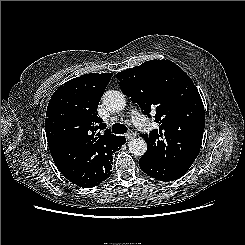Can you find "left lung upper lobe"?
I'll return each mask as SVG.
<instances>
[{
	"instance_id": "5c2ea615",
	"label": "left lung upper lobe",
	"mask_w": 245,
	"mask_h": 245,
	"mask_svg": "<svg viewBox=\"0 0 245 245\" xmlns=\"http://www.w3.org/2000/svg\"><path fill=\"white\" fill-rule=\"evenodd\" d=\"M122 91L155 115L159 129L141 134L148 145L143 155L165 165L190 168L199 154L205 127L200 94L191 78L170 60H150L119 72Z\"/></svg>"
}]
</instances>
